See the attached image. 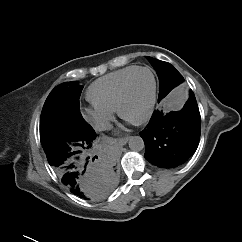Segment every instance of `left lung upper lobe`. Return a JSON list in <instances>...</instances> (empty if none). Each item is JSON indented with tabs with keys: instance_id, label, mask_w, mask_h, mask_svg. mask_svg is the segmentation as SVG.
<instances>
[{
	"instance_id": "1",
	"label": "left lung upper lobe",
	"mask_w": 242,
	"mask_h": 242,
	"mask_svg": "<svg viewBox=\"0 0 242 242\" xmlns=\"http://www.w3.org/2000/svg\"><path fill=\"white\" fill-rule=\"evenodd\" d=\"M160 81L158 103L177 85L184 81L182 75L170 63L147 57Z\"/></svg>"
}]
</instances>
